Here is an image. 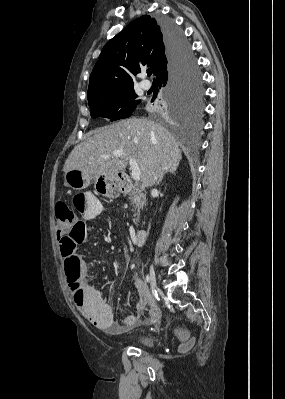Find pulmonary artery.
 <instances>
[{
    "mask_svg": "<svg viewBox=\"0 0 285 399\" xmlns=\"http://www.w3.org/2000/svg\"><path fill=\"white\" fill-rule=\"evenodd\" d=\"M140 86H141L142 89L148 90V89H150V87H151V83H150V81H148V80H146V79H143V80L140 82Z\"/></svg>",
    "mask_w": 285,
    "mask_h": 399,
    "instance_id": "pulmonary-artery-1",
    "label": "pulmonary artery"
}]
</instances>
